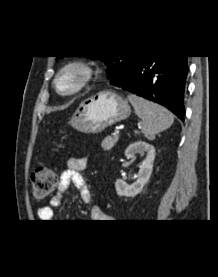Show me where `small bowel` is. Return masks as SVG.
I'll use <instances>...</instances> for the list:
<instances>
[{"instance_id": "obj_1", "label": "small bowel", "mask_w": 218, "mask_h": 277, "mask_svg": "<svg viewBox=\"0 0 218 277\" xmlns=\"http://www.w3.org/2000/svg\"><path fill=\"white\" fill-rule=\"evenodd\" d=\"M88 159L86 157H72L67 160L66 169L60 175L57 192L50 200L49 206H42L38 209L37 214L43 222H49L53 219V207L61 203L64 193L69 186L73 184L80 192L82 201L89 204L92 200L91 190L82 176V171L87 167ZM92 218L94 220H104L106 215L100 210L98 206L92 208Z\"/></svg>"}]
</instances>
